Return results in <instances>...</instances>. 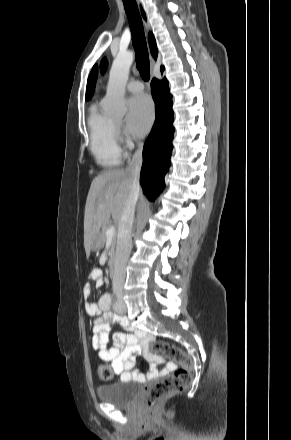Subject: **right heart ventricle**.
Segmentation results:
<instances>
[{
    "instance_id": "right-heart-ventricle-1",
    "label": "right heart ventricle",
    "mask_w": 291,
    "mask_h": 440,
    "mask_svg": "<svg viewBox=\"0 0 291 440\" xmlns=\"http://www.w3.org/2000/svg\"><path fill=\"white\" fill-rule=\"evenodd\" d=\"M90 150L98 165L108 168L121 164L122 153L117 143L115 122L92 105L88 118Z\"/></svg>"
}]
</instances>
